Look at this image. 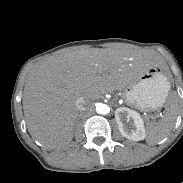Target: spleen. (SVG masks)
<instances>
[{
  "label": "spleen",
  "instance_id": "3e777b00",
  "mask_svg": "<svg viewBox=\"0 0 183 183\" xmlns=\"http://www.w3.org/2000/svg\"><path fill=\"white\" fill-rule=\"evenodd\" d=\"M136 89L140 91H147V85L140 82ZM177 118V97L172 96L169 99V105L166 107L162 119L157 123H151L147 127L146 143L148 145H155L168 136L175 125Z\"/></svg>",
  "mask_w": 183,
  "mask_h": 183
}]
</instances>
